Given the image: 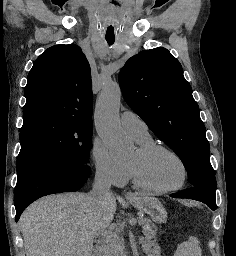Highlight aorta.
Instances as JSON below:
<instances>
[{
	"mask_svg": "<svg viewBox=\"0 0 236 256\" xmlns=\"http://www.w3.org/2000/svg\"><path fill=\"white\" fill-rule=\"evenodd\" d=\"M120 102L121 89L119 85L106 83L96 103L94 115L99 137L115 152H121L128 146L119 119Z\"/></svg>",
	"mask_w": 236,
	"mask_h": 256,
	"instance_id": "aorta-1",
	"label": "aorta"
}]
</instances>
